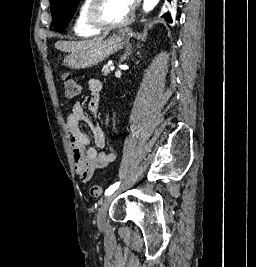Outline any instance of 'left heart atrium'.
<instances>
[{"label":"left heart atrium","instance_id":"1","mask_svg":"<svg viewBox=\"0 0 256 267\" xmlns=\"http://www.w3.org/2000/svg\"><path fill=\"white\" fill-rule=\"evenodd\" d=\"M122 8L129 13L133 12L135 0H117Z\"/></svg>","mask_w":256,"mask_h":267}]
</instances>
